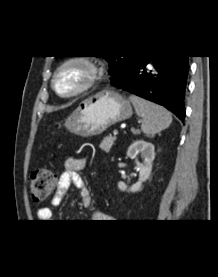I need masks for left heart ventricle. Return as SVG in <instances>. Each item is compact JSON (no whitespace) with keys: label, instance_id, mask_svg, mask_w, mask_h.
<instances>
[{"label":"left heart ventricle","instance_id":"obj_1","mask_svg":"<svg viewBox=\"0 0 218 277\" xmlns=\"http://www.w3.org/2000/svg\"><path fill=\"white\" fill-rule=\"evenodd\" d=\"M84 72L77 67L66 69L57 80V88L60 92L67 93L76 89L81 83Z\"/></svg>","mask_w":218,"mask_h":277}]
</instances>
